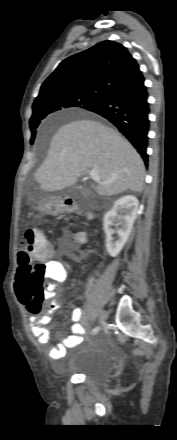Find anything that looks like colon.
<instances>
[{"label": "colon", "mask_w": 177, "mask_h": 440, "mask_svg": "<svg viewBox=\"0 0 177 440\" xmlns=\"http://www.w3.org/2000/svg\"><path fill=\"white\" fill-rule=\"evenodd\" d=\"M78 244L86 242L84 233L72 237ZM52 253L49 243L39 230H28L22 237L18 252L19 273L15 291L19 300L26 304L32 314H38L42 303L48 295L45 280L48 278V267L45 259Z\"/></svg>", "instance_id": "colon-1"}]
</instances>
